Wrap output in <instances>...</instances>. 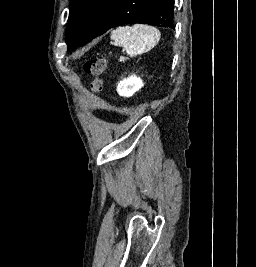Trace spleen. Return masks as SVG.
<instances>
[{
	"label": "spleen",
	"mask_w": 256,
	"mask_h": 267,
	"mask_svg": "<svg viewBox=\"0 0 256 267\" xmlns=\"http://www.w3.org/2000/svg\"><path fill=\"white\" fill-rule=\"evenodd\" d=\"M160 32L154 26L134 24V26H120L111 32V44L125 48L128 56L134 58L139 54L150 52L160 40Z\"/></svg>",
	"instance_id": "3e777b00"
}]
</instances>
